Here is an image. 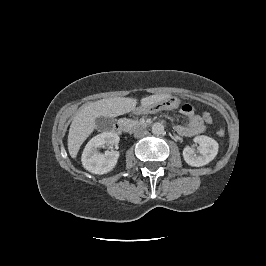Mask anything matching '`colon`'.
Returning <instances> with one entry per match:
<instances>
[{
	"instance_id": "obj_1",
	"label": "colon",
	"mask_w": 266,
	"mask_h": 266,
	"mask_svg": "<svg viewBox=\"0 0 266 266\" xmlns=\"http://www.w3.org/2000/svg\"><path fill=\"white\" fill-rule=\"evenodd\" d=\"M202 119L205 123H212L213 122V117L212 115L209 113V112H204L203 115H202ZM217 135L222 137L225 135V130L224 129H219L217 130Z\"/></svg>"
}]
</instances>
